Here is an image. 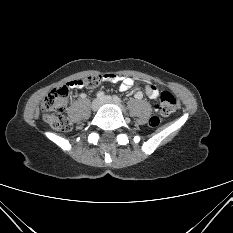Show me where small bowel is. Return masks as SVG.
<instances>
[{"label":"small bowel","instance_id":"obj_1","mask_svg":"<svg viewBox=\"0 0 233 233\" xmlns=\"http://www.w3.org/2000/svg\"><path fill=\"white\" fill-rule=\"evenodd\" d=\"M102 81L103 82H112V83H119L120 84V89L122 91H127L128 89H130L133 85H134V80L132 78H128V77H121L118 75H114V74H107V75H103L102 76ZM66 88L71 90V89H75L78 88L80 92H85L86 91V86L84 85V82L82 79H77L76 81H69L66 83ZM144 93L145 95H147L149 98H151L152 100H154L155 98H157L159 91L158 89L152 85V84H144ZM135 97L137 99H141L143 97V92L138 91L135 93Z\"/></svg>","mask_w":233,"mask_h":233}]
</instances>
